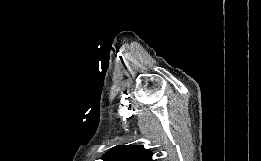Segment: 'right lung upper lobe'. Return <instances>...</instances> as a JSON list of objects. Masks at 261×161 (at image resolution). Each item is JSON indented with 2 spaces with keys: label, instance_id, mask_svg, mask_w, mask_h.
Here are the masks:
<instances>
[{
  "label": "right lung upper lobe",
  "instance_id": "1",
  "mask_svg": "<svg viewBox=\"0 0 261 161\" xmlns=\"http://www.w3.org/2000/svg\"><path fill=\"white\" fill-rule=\"evenodd\" d=\"M104 161H153L152 153L140 145H118L107 152Z\"/></svg>",
  "mask_w": 261,
  "mask_h": 161
}]
</instances>
